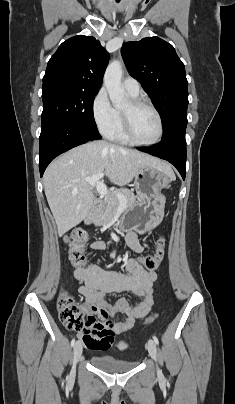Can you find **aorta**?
<instances>
[{
  "label": "aorta",
  "mask_w": 235,
  "mask_h": 404,
  "mask_svg": "<svg viewBox=\"0 0 235 404\" xmlns=\"http://www.w3.org/2000/svg\"><path fill=\"white\" fill-rule=\"evenodd\" d=\"M122 64L118 60L112 61L104 75V85L108 91L110 100L114 107L121 108L126 105L127 97L121 85Z\"/></svg>",
  "instance_id": "obj_1"
}]
</instances>
